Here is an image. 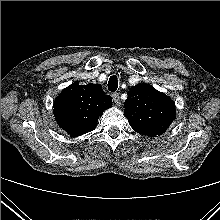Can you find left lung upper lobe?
<instances>
[{"label":"left lung upper lobe","instance_id":"left-lung-upper-lobe-1","mask_svg":"<svg viewBox=\"0 0 220 220\" xmlns=\"http://www.w3.org/2000/svg\"><path fill=\"white\" fill-rule=\"evenodd\" d=\"M124 103L130 126L146 136L163 134L175 119L174 102L149 84L131 87Z\"/></svg>","mask_w":220,"mask_h":220}]
</instances>
